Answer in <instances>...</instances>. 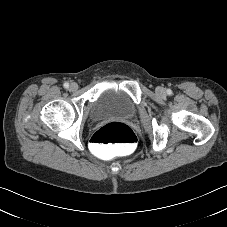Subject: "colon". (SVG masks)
I'll return each mask as SVG.
<instances>
[{
    "instance_id": "colon-1",
    "label": "colon",
    "mask_w": 227,
    "mask_h": 227,
    "mask_svg": "<svg viewBox=\"0 0 227 227\" xmlns=\"http://www.w3.org/2000/svg\"><path fill=\"white\" fill-rule=\"evenodd\" d=\"M90 141L93 151L100 156L130 152L137 143L132 129L123 123L104 125L93 134Z\"/></svg>"
}]
</instances>
